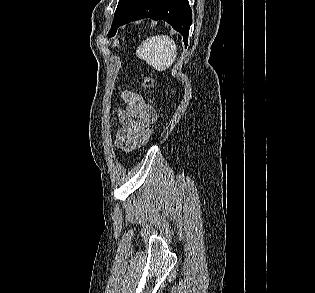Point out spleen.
<instances>
[{
  "label": "spleen",
  "mask_w": 315,
  "mask_h": 293,
  "mask_svg": "<svg viewBox=\"0 0 315 293\" xmlns=\"http://www.w3.org/2000/svg\"><path fill=\"white\" fill-rule=\"evenodd\" d=\"M136 55L157 71H164L175 61L177 46L169 36H153L143 41L138 47Z\"/></svg>",
  "instance_id": "3e777b00"
}]
</instances>
